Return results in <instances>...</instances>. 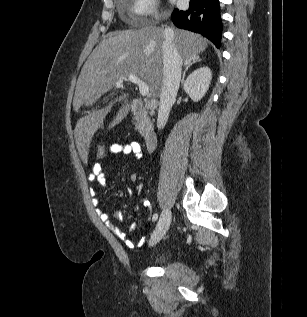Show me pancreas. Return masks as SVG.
Here are the masks:
<instances>
[{"label": "pancreas", "mask_w": 307, "mask_h": 317, "mask_svg": "<svg viewBox=\"0 0 307 317\" xmlns=\"http://www.w3.org/2000/svg\"><path fill=\"white\" fill-rule=\"evenodd\" d=\"M135 119H136V123H135L136 129L140 133H144V128L150 125L149 118H147L146 116H137Z\"/></svg>", "instance_id": "cf45deb5"}]
</instances>
